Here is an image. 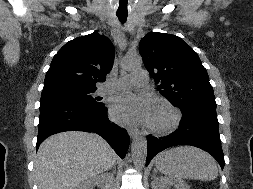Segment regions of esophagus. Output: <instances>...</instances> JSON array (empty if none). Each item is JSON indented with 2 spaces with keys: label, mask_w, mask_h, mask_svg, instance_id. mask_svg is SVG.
<instances>
[{
  "label": "esophagus",
  "mask_w": 253,
  "mask_h": 189,
  "mask_svg": "<svg viewBox=\"0 0 253 189\" xmlns=\"http://www.w3.org/2000/svg\"><path fill=\"white\" fill-rule=\"evenodd\" d=\"M127 131L130 137H133L138 133V130L133 128H129Z\"/></svg>",
  "instance_id": "esophagus-1"
}]
</instances>
